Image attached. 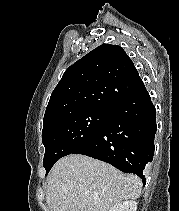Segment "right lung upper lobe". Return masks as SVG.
Segmentation results:
<instances>
[{"instance_id": "right-lung-upper-lobe-1", "label": "right lung upper lobe", "mask_w": 179, "mask_h": 211, "mask_svg": "<svg viewBox=\"0 0 179 211\" xmlns=\"http://www.w3.org/2000/svg\"><path fill=\"white\" fill-rule=\"evenodd\" d=\"M142 84L132 60L120 46L100 45L65 71L51 94L43 127L77 111L113 109Z\"/></svg>"}]
</instances>
